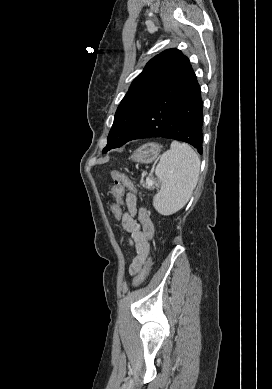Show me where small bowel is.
<instances>
[{"label": "small bowel", "mask_w": 272, "mask_h": 389, "mask_svg": "<svg viewBox=\"0 0 272 389\" xmlns=\"http://www.w3.org/2000/svg\"><path fill=\"white\" fill-rule=\"evenodd\" d=\"M126 209L121 216L124 230L131 236V245L135 249V256L129 266V273L137 274L145 262L150 251V239L154 234L153 223L145 209L138 207L137 196L126 194Z\"/></svg>", "instance_id": "small-bowel-1"}]
</instances>
